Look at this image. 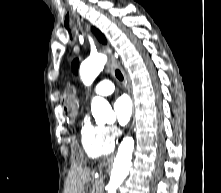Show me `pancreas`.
I'll list each match as a JSON object with an SVG mask.
<instances>
[{
    "label": "pancreas",
    "mask_w": 221,
    "mask_h": 193,
    "mask_svg": "<svg viewBox=\"0 0 221 193\" xmlns=\"http://www.w3.org/2000/svg\"><path fill=\"white\" fill-rule=\"evenodd\" d=\"M95 188L97 189V192L96 193H101L100 189H99V186H98V182L96 181L95 182Z\"/></svg>",
    "instance_id": "cf45deb5"
}]
</instances>
